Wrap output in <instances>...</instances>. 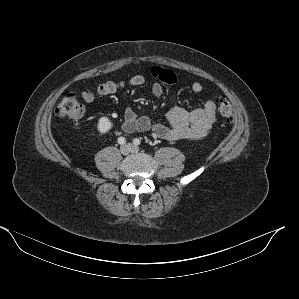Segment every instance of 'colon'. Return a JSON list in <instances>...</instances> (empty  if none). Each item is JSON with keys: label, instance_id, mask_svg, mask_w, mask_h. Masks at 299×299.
I'll use <instances>...</instances> for the list:
<instances>
[{"label": "colon", "instance_id": "obj_1", "mask_svg": "<svg viewBox=\"0 0 299 299\" xmlns=\"http://www.w3.org/2000/svg\"><path fill=\"white\" fill-rule=\"evenodd\" d=\"M215 103L224 122L228 124L232 123L231 103L224 97H217ZM56 113L61 118H67L77 122L84 116L85 109L75 93H68L58 104Z\"/></svg>", "mask_w": 299, "mask_h": 299}]
</instances>
